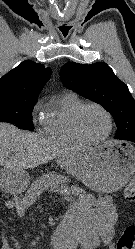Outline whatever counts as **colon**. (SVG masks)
<instances>
[{"mask_svg": "<svg viewBox=\"0 0 135 249\" xmlns=\"http://www.w3.org/2000/svg\"><path fill=\"white\" fill-rule=\"evenodd\" d=\"M124 197L130 203H135V177L126 185ZM135 245V225L128 226L116 243V249H133Z\"/></svg>", "mask_w": 135, "mask_h": 249, "instance_id": "5ec220e1", "label": "colon"}]
</instances>
